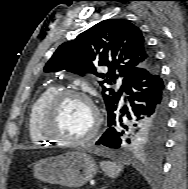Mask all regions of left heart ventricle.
I'll return each instance as SVG.
<instances>
[{
	"label": "left heart ventricle",
	"instance_id": "left-heart-ventricle-1",
	"mask_svg": "<svg viewBox=\"0 0 188 189\" xmlns=\"http://www.w3.org/2000/svg\"><path fill=\"white\" fill-rule=\"evenodd\" d=\"M93 122V113L85 101L68 99L61 104L55 115L53 130L62 137L77 139L91 130Z\"/></svg>",
	"mask_w": 188,
	"mask_h": 189
}]
</instances>
